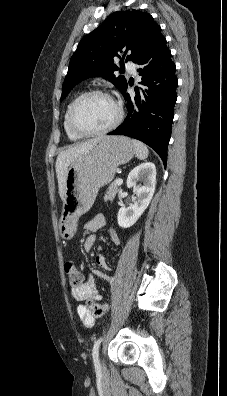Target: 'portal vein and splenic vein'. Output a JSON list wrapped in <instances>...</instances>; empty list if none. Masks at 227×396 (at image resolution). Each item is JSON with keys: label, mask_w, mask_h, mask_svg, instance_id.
Instances as JSON below:
<instances>
[{"label": "portal vein and splenic vein", "mask_w": 227, "mask_h": 396, "mask_svg": "<svg viewBox=\"0 0 227 396\" xmlns=\"http://www.w3.org/2000/svg\"><path fill=\"white\" fill-rule=\"evenodd\" d=\"M123 183V180L121 179V178H118L117 180H116V184L117 185H121Z\"/></svg>", "instance_id": "obj_1"}]
</instances>
